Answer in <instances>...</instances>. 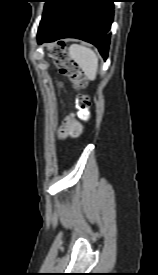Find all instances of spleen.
Returning a JSON list of instances; mask_svg holds the SVG:
<instances>
[{
	"mask_svg": "<svg viewBox=\"0 0 158 275\" xmlns=\"http://www.w3.org/2000/svg\"><path fill=\"white\" fill-rule=\"evenodd\" d=\"M69 55L82 69L88 79H96L98 57L92 49L82 45L73 44L69 47Z\"/></svg>",
	"mask_w": 158,
	"mask_h": 275,
	"instance_id": "1",
	"label": "spleen"
}]
</instances>
